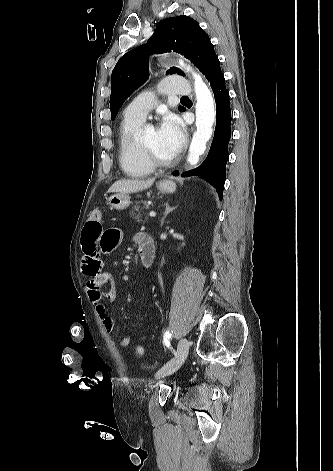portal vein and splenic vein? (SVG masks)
Wrapping results in <instances>:
<instances>
[{"label": "portal vein and splenic vein", "instance_id": "1", "mask_svg": "<svg viewBox=\"0 0 333 471\" xmlns=\"http://www.w3.org/2000/svg\"><path fill=\"white\" fill-rule=\"evenodd\" d=\"M149 216H150V217H155V216H156V213H155L154 211H151V212L149 213Z\"/></svg>", "mask_w": 333, "mask_h": 471}]
</instances>
